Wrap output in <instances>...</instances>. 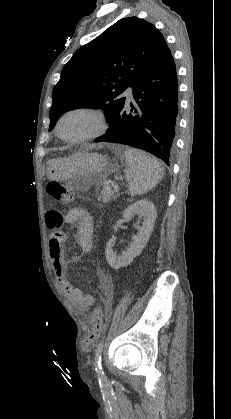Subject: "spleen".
<instances>
[{"mask_svg":"<svg viewBox=\"0 0 231 419\" xmlns=\"http://www.w3.org/2000/svg\"><path fill=\"white\" fill-rule=\"evenodd\" d=\"M126 179L131 196L142 195L154 188L164 176V170L156 158L134 148H125Z\"/></svg>","mask_w":231,"mask_h":419,"instance_id":"obj_1","label":"spleen"}]
</instances>
